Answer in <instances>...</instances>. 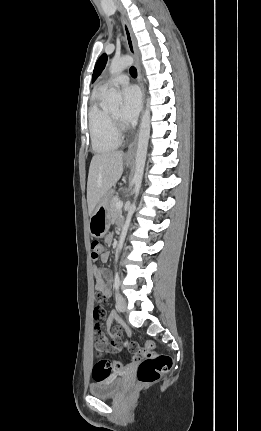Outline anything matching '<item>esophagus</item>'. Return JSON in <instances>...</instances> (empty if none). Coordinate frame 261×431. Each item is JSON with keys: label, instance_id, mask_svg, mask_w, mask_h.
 Wrapping results in <instances>:
<instances>
[{"label": "esophagus", "instance_id": "1", "mask_svg": "<svg viewBox=\"0 0 261 431\" xmlns=\"http://www.w3.org/2000/svg\"><path fill=\"white\" fill-rule=\"evenodd\" d=\"M120 19H121V23H122V26H123V31H124V35H125V40H126L127 48L129 50V53L134 58L135 63H136L137 72H138V83H139V86H140V89H141L142 104H143V101H144V87H143L142 76H141V71H140V67H139V54H138V49H137L135 37H134V34L132 32L131 26H130L127 18L124 15H121ZM137 140H138V132H137V134L135 135L133 141L130 143V145L128 147V150H127V153H126L127 156L134 155V153L136 151V148H137Z\"/></svg>", "mask_w": 261, "mask_h": 431}]
</instances>
